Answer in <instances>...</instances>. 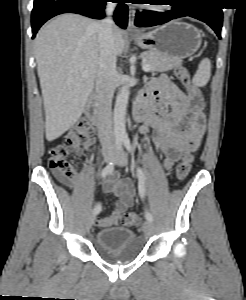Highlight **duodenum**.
Wrapping results in <instances>:
<instances>
[{"instance_id": "obj_1", "label": "duodenum", "mask_w": 246, "mask_h": 300, "mask_svg": "<svg viewBox=\"0 0 246 300\" xmlns=\"http://www.w3.org/2000/svg\"><path fill=\"white\" fill-rule=\"evenodd\" d=\"M86 115L92 124L96 127H101L105 121V108L101 104L99 94H94L90 97L86 105ZM149 112V106L140 99L136 102L133 114L136 120L142 121Z\"/></svg>"}]
</instances>
